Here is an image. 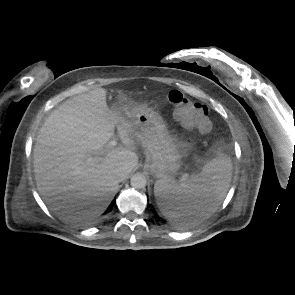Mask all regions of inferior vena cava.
I'll return each mask as SVG.
<instances>
[{
	"label": "inferior vena cava",
	"mask_w": 295,
	"mask_h": 295,
	"mask_svg": "<svg viewBox=\"0 0 295 295\" xmlns=\"http://www.w3.org/2000/svg\"><path fill=\"white\" fill-rule=\"evenodd\" d=\"M127 177V173L121 168L118 170V179L123 180Z\"/></svg>",
	"instance_id": "obj_1"
}]
</instances>
